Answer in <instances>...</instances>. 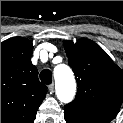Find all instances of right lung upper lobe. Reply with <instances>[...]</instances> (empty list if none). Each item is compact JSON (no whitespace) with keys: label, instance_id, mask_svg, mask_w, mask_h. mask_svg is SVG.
<instances>
[{"label":"right lung upper lobe","instance_id":"1","mask_svg":"<svg viewBox=\"0 0 123 123\" xmlns=\"http://www.w3.org/2000/svg\"><path fill=\"white\" fill-rule=\"evenodd\" d=\"M32 51V42L23 37L1 43V123H33L45 98Z\"/></svg>","mask_w":123,"mask_h":123}]
</instances>
